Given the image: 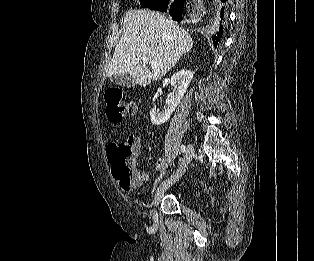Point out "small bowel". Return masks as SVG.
Segmentation results:
<instances>
[{
    "label": "small bowel",
    "mask_w": 314,
    "mask_h": 261,
    "mask_svg": "<svg viewBox=\"0 0 314 261\" xmlns=\"http://www.w3.org/2000/svg\"><path fill=\"white\" fill-rule=\"evenodd\" d=\"M132 138L135 141L136 147H137L136 152H135V156H134V160H135V162H137L140 155H141V143L136 137H132ZM155 168L158 171L159 175L155 179L154 184H156L158 182V180L162 177V175L166 172V161L164 159H159L156 162ZM135 170L138 173H140L141 182L149 180V175L147 173H145L144 171H142V169L138 165L135 167Z\"/></svg>",
    "instance_id": "1"
}]
</instances>
